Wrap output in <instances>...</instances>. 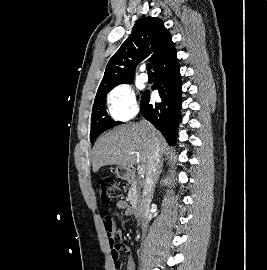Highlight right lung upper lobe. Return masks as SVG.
I'll use <instances>...</instances> for the list:
<instances>
[{
	"label": "right lung upper lobe",
	"instance_id": "right-lung-upper-lobe-1",
	"mask_svg": "<svg viewBox=\"0 0 267 270\" xmlns=\"http://www.w3.org/2000/svg\"><path fill=\"white\" fill-rule=\"evenodd\" d=\"M174 45L168 30L159 18H142L131 35L109 60L97 92L133 81L138 62L150 58L155 68L161 57Z\"/></svg>",
	"mask_w": 267,
	"mask_h": 270
}]
</instances>
